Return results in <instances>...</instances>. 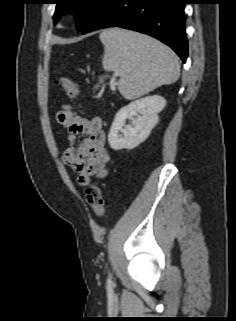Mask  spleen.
Masks as SVG:
<instances>
[{"mask_svg":"<svg viewBox=\"0 0 236 321\" xmlns=\"http://www.w3.org/2000/svg\"><path fill=\"white\" fill-rule=\"evenodd\" d=\"M100 40L104 45L103 68L120 77L118 89L126 99L138 98L179 78L176 54L156 39L112 28L104 30Z\"/></svg>","mask_w":236,"mask_h":321,"instance_id":"3e777b00","label":"spleen"}]
</instances>
